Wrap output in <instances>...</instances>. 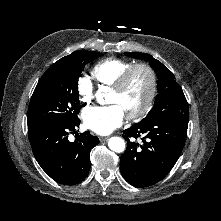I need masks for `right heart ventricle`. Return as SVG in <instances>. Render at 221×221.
Listing matches in <instances>:
<instances>
[{
    "mask_svg": "<svg viewBox=\"0 0 221 221\" xmlns=\"http://www.w3.org/2000/svg\"><path fill=\"white\" fill-rule=\"evenodd\" d=\"M132 64L131 61L121 58H106L94 65L92 75L100 84L112 87Z\"/></svg>",
    "mask_w": 221,
    "mask_h": 221,
    "instance_id": "1",
    "label": "right heart ventricle"
}]
</instances>
